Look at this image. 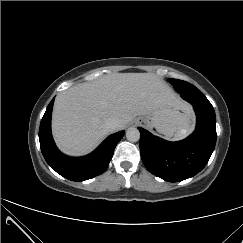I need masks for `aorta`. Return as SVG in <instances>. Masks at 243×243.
Segmentation results:
<instances>
[{"instance_id": "1", "label": "aorta", "mask_w": 243, "mask_h": 243, "mask_svg": "<svg viewBox=\"0 0 243 243\" xmlns=\"http://www.w3.org/2000/svg\"><path fill=\"white\" fill-rule=\"evenodd\" d=\"M126 138L130 142H137L140 139V132L137 128L135 127H130L126 131Z\"/></svg>"}]
</instances>
